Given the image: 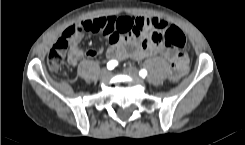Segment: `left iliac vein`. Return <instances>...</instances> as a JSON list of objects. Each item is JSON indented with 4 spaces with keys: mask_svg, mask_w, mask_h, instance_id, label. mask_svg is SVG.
I'll use <instances>...</instances> for the list:
<instances>
[{
    "mask_svg": "<svg viewBox=\"0 0 245 145\" xmlns=\"http://www.w3.org/2000/svg\"><path fill=\"white\" fill-rule=\"evenodd\" d=\"M123 72L129 76L136 78L139 82H142V80L138 78V70L135 67H126L123 69Z\"/></svg>",
    "mask_w": 245,
    "mask_h": 145,
    "instance_id": "1",
    "label": "left iliac vein"
}]
</instances>
